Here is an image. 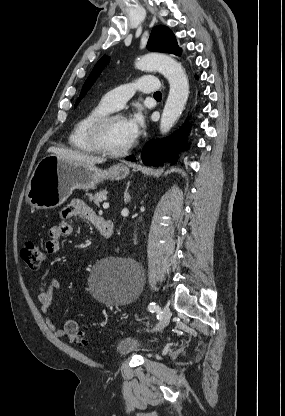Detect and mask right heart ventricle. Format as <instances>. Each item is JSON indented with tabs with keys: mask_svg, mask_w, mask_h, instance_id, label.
I'll return each instance as SVG.
<instances>
[{
	"mask_svg": "<svg viewBox=\"0 0 285 416\" xmlns=\"http://www.w3.org/2000/svg\"><path fill=\"white\" fill-rule=\"evenodd\" d=\"M110 111L102 100L91 106L74 125L69 137L70 145L81 153H96L89 140V130L95 120Z\"/></svg>",
	"mask_w": 285,
	"mask_h": 416,
	"instance_id": "right-heart-ventricle-1",
	"label": "right heart ventricle"
}]
</instances>
